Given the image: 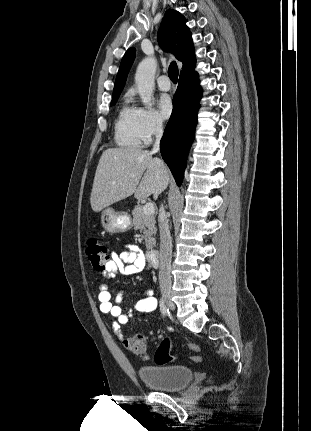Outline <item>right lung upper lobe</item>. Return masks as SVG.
<instances>
[{"label": "right lung upper lobe", "mask_w": 311, "mask_h": 431, "mask_svg": "<svg viewBox=\"0 0 311 431\" xmlns=\"http://www.w3.org/2000/svg\"><path fill=\"white\" fill-rule=\"evenodd\" d=\"M186 19L182 14L169 9L158 30V43L164 51H172L177 60L183 63L180 76L191 71L196 63L191 32L186 26ZM135 58V48H129L122 58L116 77L113 98L119 97L130 67Z\"/></svg>", "instance_id": "cb5924a9"}]
</instances>
